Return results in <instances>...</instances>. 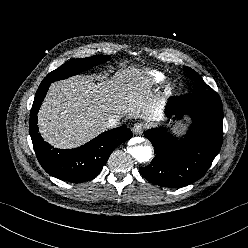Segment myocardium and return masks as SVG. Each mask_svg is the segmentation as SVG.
I'll list each match as a JSON object with an SVG mask.
<instances>
[{
    "instance_id": "obj_1",
    "label": "myocardium",
    "mask_w": 248,
    "mask_h": 248,
    "mask_svg": "<svg viewBox=\"0 0 248 248\" xmlns=\"http://www.w3.org/2000/svg\"><path fill=\"white\" fill-rule=\"evenodd\" d=\"M172 90H173V86L172 85H167L166 91L171 92Z\"/></svg>"
}]
</instances>
